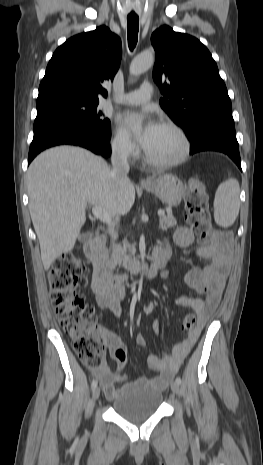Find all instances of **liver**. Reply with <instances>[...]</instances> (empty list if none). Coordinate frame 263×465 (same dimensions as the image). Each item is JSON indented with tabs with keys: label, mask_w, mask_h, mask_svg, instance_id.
<instances>
[{
	"label": "liver",
	"mask_w": 263,
	"mask_h": 465,
	"mask_svg": "<svg viewBox=\"0 0 263 465\" xmlns=\"http://www.w3.org/2000/svg\"><path fill=\"white\" fill-rule=\"evenodd\" d=\"M27 189L45 270L74 248L88 205L116 217L127 214L135 201L130 180L117 183L102 158L74 146L54 147L38 155L28 168Z\"/></svg>",
	"instance_id": "liver-1"
}]
</instances>
